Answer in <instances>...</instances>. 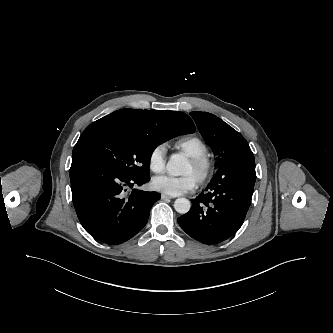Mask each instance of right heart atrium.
<instances>
[{
  "label": "right heart atrium",
  "instance_id": "d8ad5b80",
  "mask_svg": "<svg viewBox=\"0 0 333 333\" xmlns=\"http://www.w3.org/2000/svg\"><path fill=\"white\" fill-rule=\"evenodd\" d=\"M165 148L162 145L154 147L148 156V167L153 173H162L165 170Z\"/></svg>",
  "mask_w": 333,
  "mask_h": 333
}]
</instances>
